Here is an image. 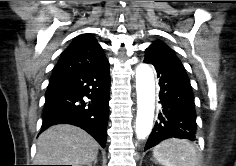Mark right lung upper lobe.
Listing matches in <instances>:
<instances>
[{"mask_svg":"<svg viewBox=\"0 0 236 166\" xmlns=\"http://www.w3.org/2000/svg\"><path fill=\"white\" fill-rule=\"evenodd\" d=\"M107 62L97 40L91 34H83L65 49L53 73L92 70Z\"/></svg>","mask_w":236,"mask_h":166,"instance_id":"cb5924a9","label":"right lung upper lobe"}]
</instances>
